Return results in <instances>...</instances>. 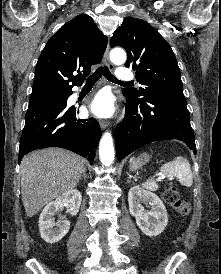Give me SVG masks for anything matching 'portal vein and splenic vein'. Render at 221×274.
Masks as SVG:
<instances>
[{
  "label": "portal vein and splenic vein",
  "instance_id": "1",
  "mask_svg": "<svg viewBox=\"0 0 221 274\" xmlns=\"http://www.w3.org/2000/svg\"><path fill=\"white\" fill-rule=\"evenodd\" d=\"M164 178L165 177L163 175H159L158 178H157V181H162V180H164Z\"/></svg>",
  "mask_w": 221,
  "mask_h": 274
}]
</instances>
